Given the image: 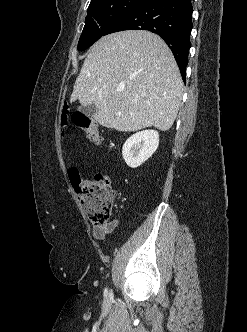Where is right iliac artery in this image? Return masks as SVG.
<instances>
[{"label":"right iliac artery","mask_w":247,"mask_h":332,"mask_svg":"<svg viewBox=\"0 0 247 332\" xmlns=\"http://www.w3.org/2000/svg\"><path fill=\"white\" fill-rule=\"evenodd\" d=\"M105 293H106V294L108 293L107 289L105 290Z\"/></svg>","instance_id":"1"}]
</instances>
